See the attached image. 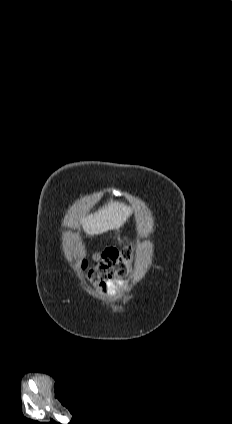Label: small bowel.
Instances as JSON below:
<instances>
[{"mask_svg":"<svg viewBox=\"0 0 232 424\" xmlns=\"http://www.w3.org/2000/svg\"><path fill=\"white\" fill-rule=\"evenodd\" d=\"M122 283L119 281L101 282L94 286V289L103 299H108L120 292Z\"/></svg>","mask_w":232,"mask_h":424,"instance_id":"c3829d8e","label":"small bowel"}]
</instances>
